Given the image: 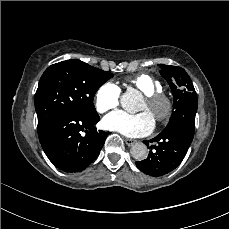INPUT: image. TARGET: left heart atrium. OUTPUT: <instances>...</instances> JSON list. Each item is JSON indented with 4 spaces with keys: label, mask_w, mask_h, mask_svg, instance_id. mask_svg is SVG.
Instances as JSON below:
<instances>
[{
    "label": "left heart atrium",
    "mask_w": 229,
    "mask_h": 229,
    "mask_svg": "<svg viewBox=\"0 0 229 229\" xmlns=\"http://www.w3.org/2000/svg\"><path fill=\"white\" fill-rule=\"evenodd\" d=\"M102 125L107 130L116 131L129 137H142L153 130L154 118L147 111L139 114L116 111L107 115L103 119Z\"/></svg>",
    "instance_id": "1"
}]
</instances>
